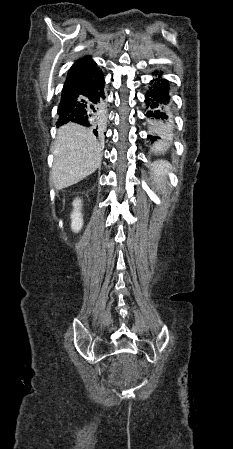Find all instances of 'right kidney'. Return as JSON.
<instances>
[{"label": "right kidney", "instance_id": "ca27d5eb", "mask_svg": "<svg viewBox=\"0 0 233 449\" xmlns=\"http://www.w3.org/2000/svg\"><path fill=\"white\" fill-rule=\"evenodd\" d=\"M74 210L71 214V228L74 232H79L83 226V218L81 213V200L76 199L73 202Z\"/></svg>", "mask_w": 233, "mask_h": 449}]
</instances>
